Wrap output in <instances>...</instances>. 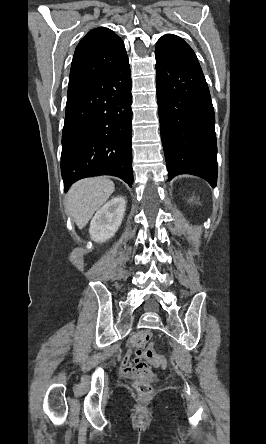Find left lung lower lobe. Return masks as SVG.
I'll return each mask as SVG.
<instances>
[{
    "mask_svg": "<svg viewBox=\"0 0 266 444\" xmlns=\"http://www.w3.org/2000/svg\"><path fill=\"white\" fill-rule=\"evenodd\" d=\"M160 130L168 176L188 173L217 182L215 115L202 69L156 57Z\"/></svg>",
    "mask_w": 266,
    "mask_h": 444,
    "instance_id": "obj_1",
    "label": "left lung lower lobe"
}]
</instances>
